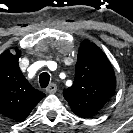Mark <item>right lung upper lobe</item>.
Segmentation results:
<instances>
[{"label":"right lung upper lobe","mask_w":133,"mask_h":133,"mask_svg":"<svg viewBox=\"0 0 133 133\" xmlns=\"http://www.w3.org/2000/svg\"><path fill=\"white\" fill-rule=\"evenodd\" d=\"M0 55V113L16 121L25 119L45 94L34 89L19 69L21 51Z\"/></svg>","instance_id":"cb5924a9"}]
</instances>
